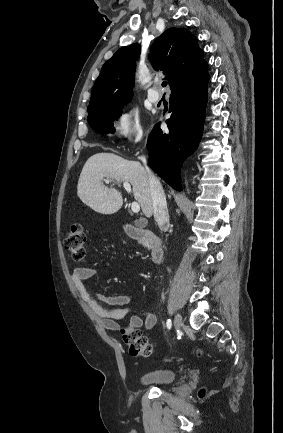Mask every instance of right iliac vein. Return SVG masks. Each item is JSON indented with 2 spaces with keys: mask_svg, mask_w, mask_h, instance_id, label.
<instances>
[{
  "mask_svg": "<svg viewBox=\"0 0 283 433\" xmlns=\"http://www.w3.org/2000/svg\"><path fill=\"white\" fill-rule=\"evenodd\" d=\"M183 323L184 322H183V319H182L181 315L180 314H176L175 321H174L175 328L177 330H179L182 327Z\"/></svg>",
  "mask_w": 283,
  "mask_h": 433,
  "instance_id": "1",
  "label": "right iliac vein"
}]
</instances>
